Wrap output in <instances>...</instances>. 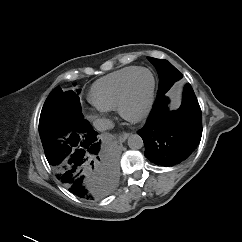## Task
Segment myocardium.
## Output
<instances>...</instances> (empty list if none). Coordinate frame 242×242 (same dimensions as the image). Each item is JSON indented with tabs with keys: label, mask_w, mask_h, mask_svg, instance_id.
I'll use <instances>...</instances> for the list:
<instances>
[{
	"label": "myocardium",
	"mask_w": 242,
	"mask_h": 242,
	"mask_svg": "<svg viewBox=\"0 0 242 242\" xmlns=\"http://www.w3.org/2000/svg\"><path fill=\"white\" fill-rule=\"evenodd\" d=\"M140 72H148L150 74L151 78H152V84H151V88H150L147 100H146L145 105L142 108V110L140 112L136 113V114H131L127 110V103H128V100H129L130 91H131L133 81H134L135 77ZM155 91H156V78H155L154 73L150 69L144 68V67H140V68L136 69L130 75V77L127 79V81L124 85V88L122 90V93L120 95L118 107H117L119 114L125 120L132 122V123H139V122L145 120L152 110V107H153V104H154V98H155Z\"/></svg>",
	"instance_id": "1"
}]
</instances>
